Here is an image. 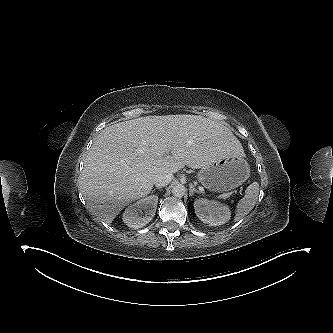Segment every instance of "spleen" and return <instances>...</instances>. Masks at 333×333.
Here are the masks:
<instances>
[{
	"label": "spleen",
	"mask_w": 333,
	"mask_h": 333,
	"mask_svg": "<svg viewBox=\"0 0 333 333\" xmlns=\"http://www.w3.org/2000/svg\"><path fill=\"white\" fill-rule=\"evenodd\" d=\"M259 194V184L253 182L245 190V196L237 203L235 211V221H239L254 208Z\"/></svg>",
	"instance_id": "1"
}]
</instances>
